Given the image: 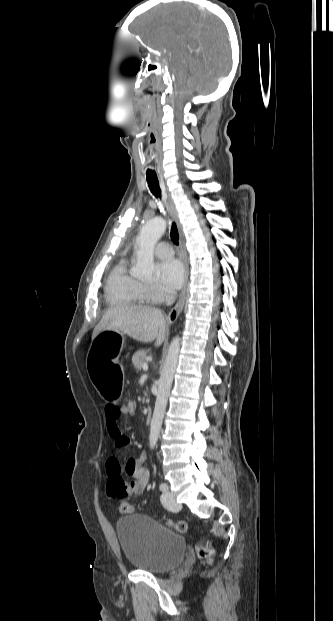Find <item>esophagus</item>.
Here are the masks:
<instances>
[{"mask_svg":"<svg viewBox=\"0 0 333 621\" xmlns=\"http://www.w3.org/2000/svg\"><path fill=\"white\" fill-rule=\"evenodd\" d=\"M159 182H160L162 193H163L164 204L168 212L172 216V218L175 220L177 227H178L179 239H180V251H181L182 259L185 264V278H186V285H187L188 275H189V265H188V257H187L186 247H185V236H184L182 224L180 222L178 211L176 209L172 196L162 176L159 177ZM185 299H186V287L182 291L176 305L169 312V323H173L178 318V316L182 312Z\"/></svg>","mask_w":333,"mask_h":621,"instance_id":"34e87169","label":"esophagus"}]
</instances>
